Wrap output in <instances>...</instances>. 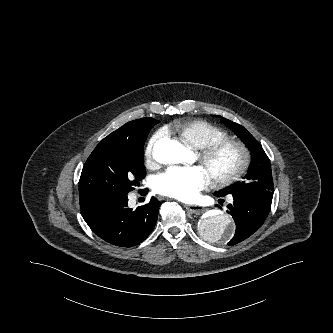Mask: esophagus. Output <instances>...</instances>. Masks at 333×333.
Masks as SVG:
<instances>
[{
    "mask_svg": "<svg viewBox=\"0 0 333 333\" xmlns=\"http://www.w3.org/2000/svg\"><path fill=\"white\" fill-rule=\"evenodd\" d=\"M184 207L189 212H191L193 214H196V215H200V214H202L205 211V209L203 207L198 206V205H194V204H192V205L185 204Z\"/></svg>",
    "mask_w": 333,
    "mask_h": 333,
    "instance_id": "esophagus-1",
    "label": "esophagus"
}]
</instances>
